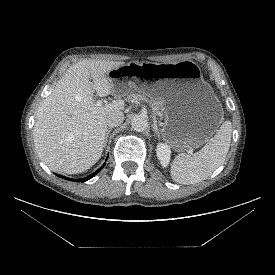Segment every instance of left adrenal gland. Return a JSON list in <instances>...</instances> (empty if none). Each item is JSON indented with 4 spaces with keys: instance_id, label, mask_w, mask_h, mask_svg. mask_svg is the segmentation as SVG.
Masks as SVG:
<instances>
[{
    "instance_id": "a2214340",
    "label": "left adrenal gland",
    "mask_w": 275,
    "mask_h": 275,
    "mask_svg": "<svg viewBox=\"0 0 275 275\" xmlns=\"http://www.w3.org/2000/svg\"><path fill=\"white\" fill-rule=\"evenodd\" d=\"M153 131H154V137L159 138L160 137V133H159V129H158V125H157V120H156L155 116H153Z\"/></svg>"
}]
</instances>
